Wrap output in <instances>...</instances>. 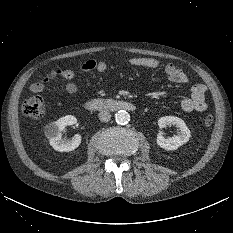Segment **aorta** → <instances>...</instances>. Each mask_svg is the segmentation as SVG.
I'll list each match as a JSON object with an SVG mask.
<instances>
[{"label": "aorta", "mask_w": 233, "mask_h": 233, "mask_svg": "<svg viewBox=\"0 0 233 233\" xmlns=\"http://www.w3.org/2000/svg\"><path fill=\"white\" fill-rule=\"evenodd\" d=\"M115 120H116L117 124L125 125L130 121V115L125 110H119L115 114Z\"/></svg>", "instance_id": "1"}]
</instances>
